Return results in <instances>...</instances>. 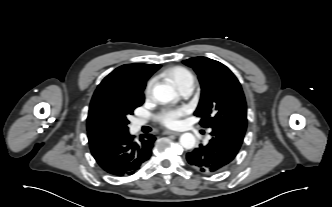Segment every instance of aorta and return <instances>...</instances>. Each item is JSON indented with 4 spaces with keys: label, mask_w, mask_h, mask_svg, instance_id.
<instances>
[{
    "label": "aorta",
    "mask_w": 332,
    "mask_h": 207,
    "mask_svg": "<svg viewBox=\"0 0 332 207\" xmlns=\"http://www.w3.org/2000/svg\"><path fill=\"white\" fill-rule=\"evenodd\" d=\"M154 97L162 103H168L177 97V93L172 86L166 84L156 85L153 88ZM180 144L185 149H192L196 144V138L191 133H184L180 136Z\"/></svg>",
    "instance_id": "1"
}]
</instances>
